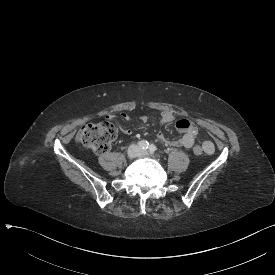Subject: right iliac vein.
I'll return each mask as SVG.
<instances>
[{
  "mask_svg": "<svg viewBox=\"0 0 275 275\" xmlns=\"http://www.w3.org/2000/svg\"><path fill=\"white\" fill-rule=\"evenodd\" d=\"M127 155L129 158L133 159L140 155V149L136 145H131L127 150Z\"/></svg>",
  "mask_w": 275,
  "mask_h": 275,
  "instance_id": "obj_1",
  "label": "right iliac vein"
}]
</instances>
